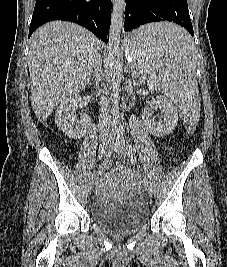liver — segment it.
Returning a JSON list of instances; mask_svg holds the SVG:
<instances>
[{
  "label": "liver",
  "instance_id": "1",
  "mask_svg": "<svg viewBox=\"0 0 227 267\" xmlns=\"http://www.w3.org/2000/svg\"><path fill=\"white\" fill-rule=\"evenodd\" d=\"M29 43L31 104L45 122L55 106L88 85L101 42L77 24L53 21L37 29Z\"/></svg>",
  "mask_w": 227,
  "mask_h": 267
}]
</instances>
